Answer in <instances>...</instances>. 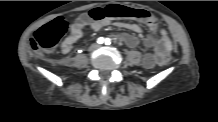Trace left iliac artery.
I'll return each mask as SVG.
<instances>
[{
    "label": "left iliac artery",
    "instance_id": "44dca946",
    "mask_svg": "<svg viewBox=\"0 0 218 122\" xmlns=\"http://www.w3.org/2000/svg\"><path fill=\"white\" fill-rule=\"evenodd\" d=\"M105 44H106V45L111 44V39H110V38H106V39H105Z\"/></svg>",
    "mask_w": 218,
    "mask_h": 122
}]
</instances>
